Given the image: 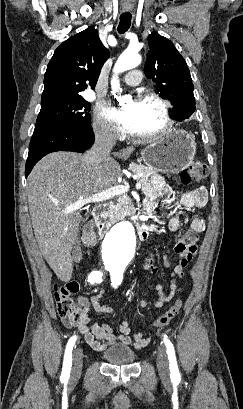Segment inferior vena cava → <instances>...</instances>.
<instances>
[{"label": "inferior vena cava", "instance_id": "obj_1", "mask_svg": "<svg viewBox=\"0 0 243 409\" xmlns=\"http://www.w3.org/2000/svg\"><path fill=\"white\" fill-rule=\"evenodd\" d=\"M115 143L116 137L114 134L106 129L96 130L94 144L85 154V161L95 169H99L103 160L109 156Z\"/></svg>", "mask_w": 243, "mask_h": 409}]
</instances>
